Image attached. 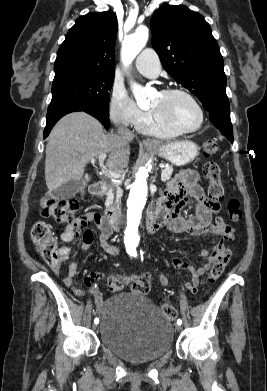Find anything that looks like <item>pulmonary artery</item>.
Masks as SVG:
<instances>
[{
    "label": "pulmonary artery",
    "mask_w": 267,
    "mask_h": 391,
    "mask_svg": "<svg viewBox=\"0 0 267 391\" xmlns=\"http://www.w3.org/2000/svg\"><path fill=\"white\" fill-rule=\"evenodd\" d=\"M137 71L145 77L156 78L161 70V63L157 53L151 49H144L135 61Z\"/></svg>",
    "instance_id": "e3ab8cb5"
}]
</instances>
